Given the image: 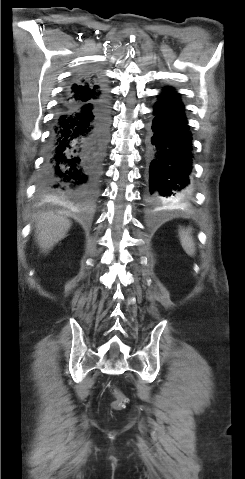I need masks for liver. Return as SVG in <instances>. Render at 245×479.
Instances as JSON below:
<instances>
[{
    "mask_svg": "<svg viewBox=\"0 0 245 479\" xmlns=\"http://www.w3.org/2000/svg\"><path fill=\"white\" fill-rule=\"evenodd\" d=\"M70 227L71 221L64 216L55 214L39 216L35 224V236L42 252H49L65 238Z\"/></svg>",
    "mask_w": 245,
    "mask_h": 479,
    "instance_id": "6515ba94",
    "label": "liver"
}]
</instances>
